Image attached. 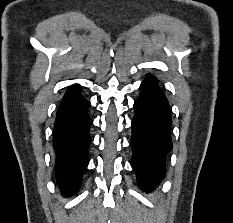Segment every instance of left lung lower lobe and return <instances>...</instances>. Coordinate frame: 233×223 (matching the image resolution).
Returning <instances> with one entry per match:
<instances>
[{"label": "left lung lower lobe", "instance_id": "0a47b994", "mask_svg": "<svg viewBox=\"0 0 233 223\" xmlns=\"http://www.w3.org/2000/svg\"><path fill=\"white\" fill-rule=\"evenodd\" d=\"M140 96L134 103L132 120V168L145 191L156 187L165 175V158L172 149L171 115L168 101L155 77L147 75Z\"/></svg>", "mask_w": 233, "mask_h": 223}]
</instances>
